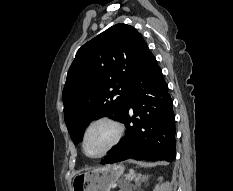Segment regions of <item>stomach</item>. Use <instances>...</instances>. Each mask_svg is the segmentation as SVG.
Returning a JSON list of instances; mask_svg holds the SVG:
<instances>
[{
  "mask_svg": "<svg viewBox=\"0 0 233 191\" xmlns=\"http://www.w3.org/2000/svg\"><path fill=\"white\" fill-rule=\"evenodd\" d=\"M123 171L122 165L108 164L80 173L73 179L72 191H110Z\"/></svg>",
  "mask_w": 233,
  "mask_h": 191,
  "instance_id": "1",
  "label": "stomach"
}]
</instances>
